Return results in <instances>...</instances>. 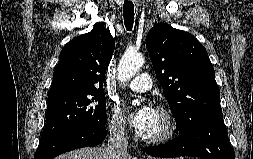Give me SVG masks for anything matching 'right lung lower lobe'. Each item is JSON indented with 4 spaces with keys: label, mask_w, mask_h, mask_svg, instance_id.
<instances>
[{
    "label": "right lung lower lobe",
    "mask_w": 253,
    "mask_h": 159,
    "mask_svg": "<svg viewBox=\"0 0 253 159\" xmlns=\"http://www.w3.org/2000/svg\"><path fill=\"white\" fill-rule=\"evenodd\" d=\"M105 137V126L91 124L74 126L40 142L34 159H53L76 148L95 146Z\"/></svg>",
    "instance_id": "1"
}]
</instances>
